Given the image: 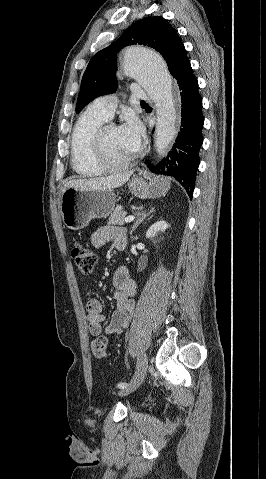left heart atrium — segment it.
<instances>
[{"mask_svg": "<svg viewBox=\"0 0 266 479\" xmlns=\"http://www.w3.org/2000/svg\"><path fill=\"white\" fill-rule=\"evenodd\" d=\"M119 130L130 153H135L140 147L143 136V128L139 121L129 117Z\"/></svg>", "mask_w": 266, "mask_h": 479, "instance_id": "39dd6f15", "label": "left heart atrium"}]
</instances>
